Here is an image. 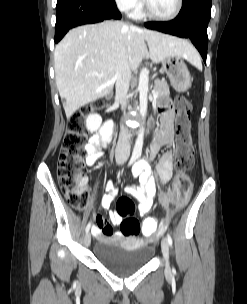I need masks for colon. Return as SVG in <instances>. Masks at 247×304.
Listing matches in <instances>:
<instances>
[{"mask_svg":"<svg viewBox=\"0 0 247 304\" xmlns=\"http://www.w3.org/2000/svg\"><path fill=\"white\" fill-rule=\"evenodd\" d=\"M176 106V164L178 172L172 184V189L163 194V199L173 204L185 203L190 180L187 171L194 165V145L191 136L190 111L191 106L184 96H177ZM102 102L96 103L93 109L97 112L103 110ZM89 110L73 113L67 122L66 134L59 152L57 177L59 186L68 203L82 210L88 202V192L85 187L86 166L84 162L86 126L85 121ZM135 205L127 197H121L117 202L116 212L122 218L121 232L125 236L134 237L141 232L139 221L134 218ZM159 226L155 219L149 218L143 225V238H152Z\"/></svg>","mask_w":247,"mask_h":304,"instance_id":"colon-1","label":"colon"}]
</instances>
